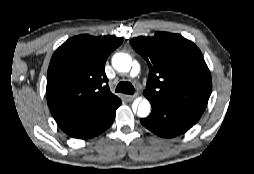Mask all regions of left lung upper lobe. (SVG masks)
Wrapping results in <instances>:
<instances>
[{"instance_id":"5c2ea615","label":"left lung upper lobe","mask_w":254,"mask_h":174,"mask_svg":"<svg viewBox=\"0 0 254 174\" xmlns=\"http://www.w3.org/2000/svg\"><path fill=\"white\" fill-rule=\"evenodd\" d=\"M131 46L148 63L144 95L203 114L212 89L210 71L198 47L181 35L157 32L137 37Z\"/></svg>"}]
</instances>
